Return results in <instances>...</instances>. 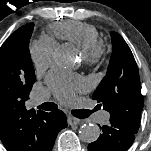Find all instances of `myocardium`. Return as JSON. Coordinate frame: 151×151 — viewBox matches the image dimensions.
<instances>
[{"label": "myocardium", "mask_w": 151, "mask_h": 151, "mask_svg": "<svg viewBox=\"0 0 151 151\" xmlns=\"http://www.w3.org/2000/svg\"><path fill=\"white\" fill-rule=\"evenodd\" d=\"M103 54L104 49L99 41L83 49V58L90 65L98 64Z\"/></svg>", "instance_id": "f54148a6"}]
</instances>
